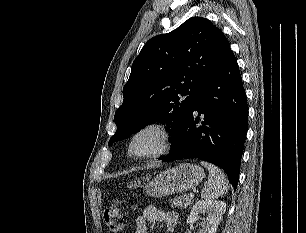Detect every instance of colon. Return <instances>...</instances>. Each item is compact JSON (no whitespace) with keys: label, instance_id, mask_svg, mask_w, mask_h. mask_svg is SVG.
I'll return each instance as SVG.
<instances>
[{"label":"colon","instance_id":"5ec220e1","mask_svg":"<svg viewBox=\"0 0 306 233\" xmlns=\"http://www.w3.org/2000/svg\"><path fill=\"white\" fill-rule=\"evenodd\" d=\"M134 182L131 186H137ZM104 224L109 233H119L124 228L125 217L122 210L115 203L108 206L104 211Z\"/></svg>","mask_w":306,"mask_h":233}]
</instances>
